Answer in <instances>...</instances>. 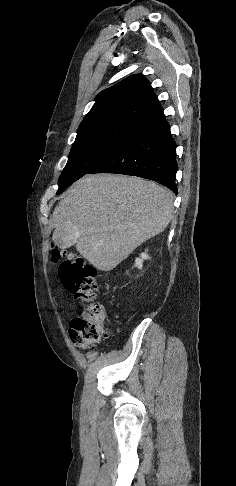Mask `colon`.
Returning <instances> with one entry per match:
<instances>
[{
  "label": "colon",
  "instance_id": "5ec220e1",
  "mask_svg": "<svg viewBox=\"0 0 236 486\" xmlns=\"http://www.w3.org/2000/svg\"><path fill=\"white\" fill-rule=\"evenodd\" d=\"M51 257L55 263L65 258L59 266L61 282L75 298L85 303L84 309L70 323V338L76 346L90 348L106 332L103 311L95 302L98 289L96 270L74 252L53 249Z\"/></svg>",
  "mask_w": 236,
  "mask_h": 486
}]
</instances>
